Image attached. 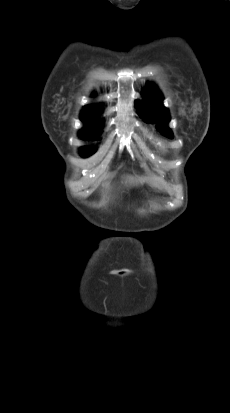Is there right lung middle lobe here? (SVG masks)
I'll use <instances>...</instances> for the list:
<instances>
[{
	"instance_id": "obj_1",
	"label": "right lung middle lobe",
	"mask_w": 230,
	"mask_h": 413,
	"mask_svg": "<svg viewBox=\"0 0 230 413\" xmlns=\"http://www.w3.org/2000/svg\"><path fill=\"white\" fill-rule=\"evenodd\" d=\"M99 127H102L101 123L97 124V126H93L91 128H86V129L81 130L80 137L83 140H91V139L95 138L97 132L101 131ZM95 151H96L95 147H91V146L90 147H87V146L82 147L81 148V155L83 157H87V156H90L93 153H95Z\"/></svg>"
}]
</instances>
